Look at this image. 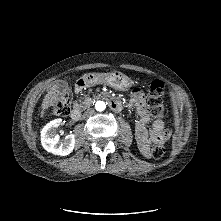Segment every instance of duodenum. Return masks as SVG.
Masks as SVG:
<instances>
[{"mask_svg": "<svg viewBox=\"0 0 221 221\" xmlns=\"http://www.w3.org/2000/svg\"><path fill=\"white\" fill-rule=\"evenodd\" d=\"M89 83L90 81L88 79L86 78L81 79L77 85V92L83 90ZM109 107L114 112H120L125 108L121 101L113 98H109ZM80 116H81V110L78 106H75L70 113V117L73 120H78Z\"/></svg>", "mask_w": 221, "mask_h": 221, "instance_id": "1", "label": "duodenum"}]
</instances>
